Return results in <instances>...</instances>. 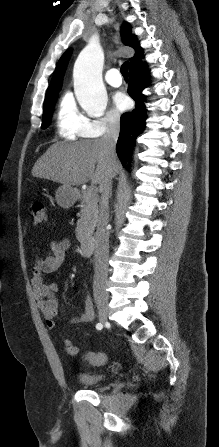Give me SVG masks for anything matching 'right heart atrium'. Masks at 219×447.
<instances>
[{"label":"right heart atrium","mask_w":219,"mask_h":447,"mask_svg":"<svg viewBox=\"0 0 219 447\" xmlns=\"http://www.w3.org/2000/svg\"><path fill=\"white\" fill-rule=\"evenodd\" d=\"M120 124V113L116 110H110L103 117L91 121V129L95 136H102L118 128Z\"/></svg>","instance_id":"right-heart-atrium-1"}]
</instances>
